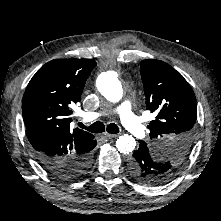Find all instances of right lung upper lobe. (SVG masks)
<instances>
[{"mask_svg": "<svg viewBox=\"0 0 221 221\" xmlns=\"http://www.w3.org/2000/svg\"><path fill=\"white\" fill-rule=\"evenodd\" d=\"M96 62L92 59H58L42 66L27 85L22 100L26 133L35 155L60 163L88 154L97 144L94 136L70 129L72 109Z\"/></svg>", "mask_w": 221, "mask_h": 221, "instance_id": "obj_1", "label": "right lung upper lobe"}]
</instances>
